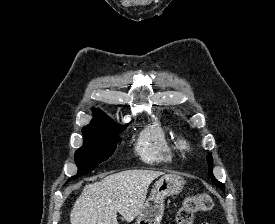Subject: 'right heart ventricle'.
I'll use <instances>...</instances> for the list:
<instances>
[{
  "label": "right heart ventricle",
  "mask_w": 275,
  "mask_h": 224,
  "mask_svg": "<svg viewBox=\"0 0 275 224\" xmlns=\"http://www.w3.org/2000/svg\"><path fill=\"white\" fill-rule=\"evenodd\" d=\"M136 152L146 163H172L177 155V147L164 127L156 121L147 124L139 133Z\"/></svg>",
  "instance_id": "e07e8e85"
}]
</instances>
